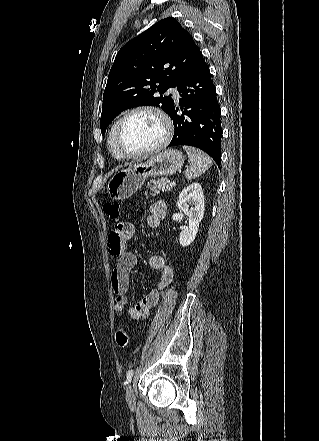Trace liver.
Here are the masks:
<instances>
[{
  "label": "liver",
  "instance_id": "obj_1",
  "mask_svg": "<svg viewBox=\"0 0 319 441\" xmlns=\"http://www.w3.org/2000/svg\"><path fill=\"white\" fill-rule=\"evenodd\" d=\"M131 163L125 164V166H129Z\"/></svg>",
  "mask_w": 319,
  "mask_h": 441
}]
</instances>
